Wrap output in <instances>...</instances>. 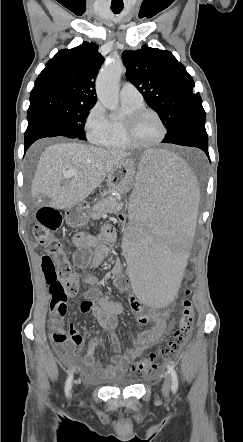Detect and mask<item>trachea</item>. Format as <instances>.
<instances>
[{
  "label": "trachea",
  "instance_id": "trachea-1",
  "mask_svg": "<svg viewBox=\"0 0 243 442\" xmlns=\"http://www.w3.org/2000/svg\"><path fill=\"white\" fill-rule=\"evenodd\" d=\"M123 9V6H111V10L114 14H119Z\"/></svg>",
  "mask_w": 243,
  "mask_h": 442
}]
</instances>
